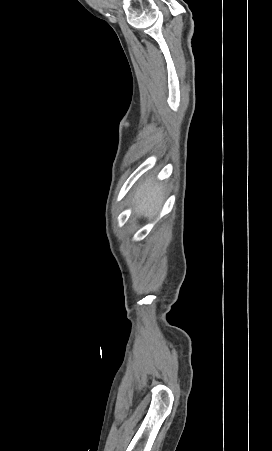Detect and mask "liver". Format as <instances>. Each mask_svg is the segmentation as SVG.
Returning a JSON list of instances; mask_svg holds the SVG:
<instances>
[{
    "mask_svg": "<svg viewBox=\"0 0 272 451\" xmlns=\"http://www.w3.org/2000/svg\"><path fill=\"white\" fill-rule=\"evenodd\" d=\"M164 194L162 186H153L150 178L139 186L135 192L132 204H136L135 212L144 218H153L162 208Z\"/></svg>",
    "mask_w": 272,
    "mask_h": 451,
    "instance_id": "liver-1",
    "label": "liver"
}]
</instances>
